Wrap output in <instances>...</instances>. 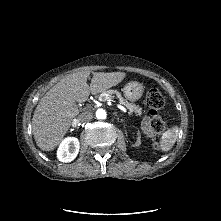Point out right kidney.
Segmentation results:
<instances>
[{
	"instance_id": "obj_1",
	"label": "right kidney",
	"mask_w": 221,
	"mask_h": 221,
	"mask_svg": "<svg viewBox=\"0 0 221 221\" xmlns=\"http://www.w3.org/2000/svg\"><path fill=\"white\" fill-rule=\"evenodd\" d=\"M79 140L75 137L64 139L57 151V157L61 162L73 161L79 153Z\"/></svg>"
}]
</instances>
